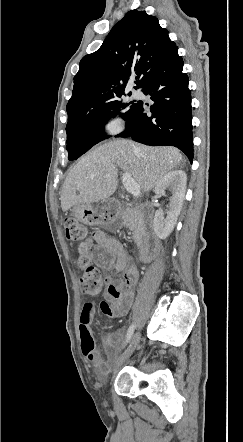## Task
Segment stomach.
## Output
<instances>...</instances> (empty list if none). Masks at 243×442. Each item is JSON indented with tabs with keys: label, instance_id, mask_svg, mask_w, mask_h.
I'll return each instance as SVG.
<instances>
[{
	"label": "stomach",
	"instance_id": "0dacf381",
	"mask_svg": "<svg viewBox=\"0 0 243 442\" xmlns=\"http://www.w3.org/2000/svg\"><path fill=\"white\" fill-rule=\"evenodd\" d=\"M72 215L87 225H110L116 216L107 208L106 204L94 207L90 203L79 204L72 208Z\"/></svg>",
	"mask_w": 243,
	"mask_h": 442
}]
</instances>
